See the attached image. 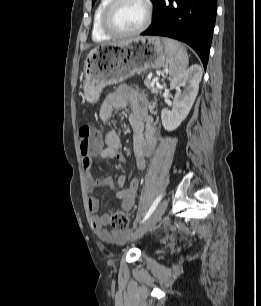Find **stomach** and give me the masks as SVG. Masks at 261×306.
<instances>
[{
	"instance_id": "stomach-1",
	"label": "stomach",
	"mask_w": 261,
	"mask_h": 306,
	"mask_svg": "<svg viewBox=\"0 0 261 306\" xmlns=\"http://www.w3.org/2000/svg\"><path fill=\"white\" fill-rule=\"evenodd\" d=\"M168 56L161 39L139 36L126 41L96 47L84 65V99L96 102L102 89L125 81L134 74L158 69Z\"/></svg>"
}]
</instances>
